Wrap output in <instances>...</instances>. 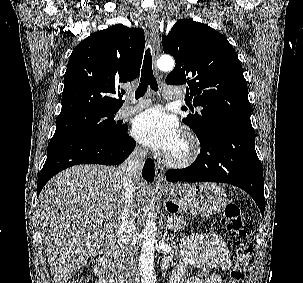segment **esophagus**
<instances>
[{"label":"esophagus","mask_w":303,"mask_h":283,"mask_svg":"<svg viewBox=\"0 0 303 283\" xmlns=\"http://www.w3.org/2000/svg\"><path fill=\"white\" fill-rule=\"evenodd\" d=\"M147 25H148V29L150 32V39H151V45H152V56H153L154 61H156V59L159 56V50H160L158 21L155 17L148 16ZM156 76L158 78H161V75L157 70H156ZM154 182L156 185H162L165 183L164 168L158 163L155 164Z\"/></svg>","instance_id":"obj_1"}]
</instances>
